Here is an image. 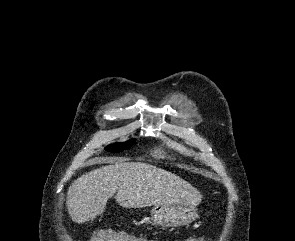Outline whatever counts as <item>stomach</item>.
Instances as JSON below:
<instances>
[{
	"label": "stomach",
	"instance_id": "obj_1",
	"mask_svg": "<svg viewBox=\"0 0 295 241\" xmlns=\"http://www.w3.org/2000/svg\"><path fill=\"white\" fill-rule=\"evenodd\" d=\"M198 218L193 206L155 205L150 212V222L163 227L186 226Z\"/></svg>",
	"mask_w": 295,
	"mask_h": 241
}]
</instances>
